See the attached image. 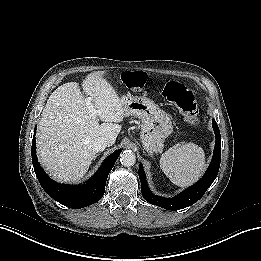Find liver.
<instances>
[{
	"mask_svg": "<svg viewBox=\"0 0 261 261\" xmlns=\"http://www.w3.org/2000/svg\"><path fill=\"white\" fill-rule=\"evenodd\" d=\"M103 75L102 71L90 73L82 84L97 115L90 112L76 82L59 86L47 100L38 125L37 156L57 181L83 178L96 158L95 139L107 137L112 146L121 131L123 103ZM99 119L104 123L100 125Z\"/></svg>",
	"mask_w": 261,
	"mask_h": 261,
	"instance_id": "6515ba94",
	"label": "liver"
}]
</instances>
